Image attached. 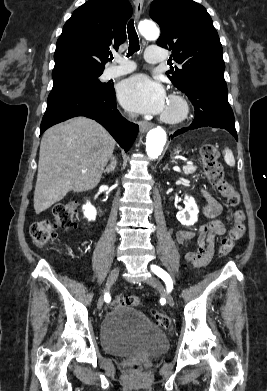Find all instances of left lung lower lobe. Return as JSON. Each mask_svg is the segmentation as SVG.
Masks as SVG:
<instances>
[{
	"instance_id": "0a47b994",
	"label": "left lung lower lobe",
	"mask_w": 267,
	"mask_h": 391,
	"mask_svg": "<svg viewBox=\"0 0 267 391\" xmlns=\"http://www.w3.org/2000/svg\"><path fill=\"white\" fill-rule=\"evenodd\" d=\"M195 108V119L188 128H182L171 136L200 127H214L229 131L237 140L235 119L227 99L226 83L215 80H199L182 90Z\"/></svg>"
}]
</instances>
